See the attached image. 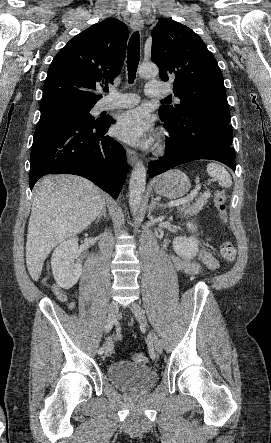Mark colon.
Returning a JSON list of instances; mask_svg holds the SVG:
<instances>
[{
	"label": "colon",
	"mask_w": 271,
	"mask_h": 443,
	"mask_svg": "<svg viewBox=\"0 0 271 443\" xmlns=\"http://www.w3.org/2000/svg\"><path fill=\"white\" fill-rule=\"evenodd\" d=\"M227 197L224 190H218L215 193L214 203L217 211L218 218L221 222H225L227 219V205H226ZM219 253L223 260L228 263H232L235 261L236 250L233 244L230 241H224L221 243L219 247ZM134 360L138 363H147L148 357L144 353H136L133 356Z\"/></svg>",
	"instance_id": "obj_1"
}]
</instances>
